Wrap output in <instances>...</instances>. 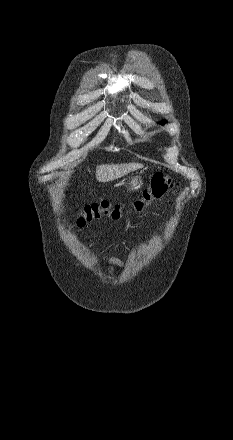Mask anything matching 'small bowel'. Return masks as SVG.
<instances>
[{
	"label": "small bowel",
	"mask_w": 233,
	"mask_h": 440,
	"mask_svg": "<svg viewBox=\"0 0 233 440\" xmlns=\"http://www.w3.org/2000/svg\"><path fill=\"white\" fill-rule=\"evenodd\" d=\"M106 260L113 267H122L123 266V262L114 256H107Z\"/></svg>",
	"instance_id": "c3829d8e"
}]
</instances>
